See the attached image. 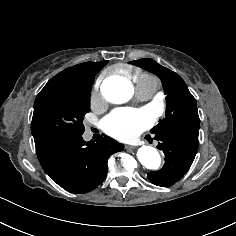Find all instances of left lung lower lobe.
I'll return each instance as SVG.
<instances>
[{"label": "left lung lower lobe", "instance_id": "1", "mask_svg": "<svg viewBox=\"0 0 236 236\" xmlns=\"http://www.w3.org/2000/svg\"><path fill=\"white\" fill-rule=\"evenodd\" d=\"M155 139V138H154ZM158 149L165 154V164L159 171L148 173L155 185L169 187L179 181L192 165L198 150V138L176 133H164L158 137Z\"/></svg>", "mask_w": 236, "mask_h": 236}]
</instances>
